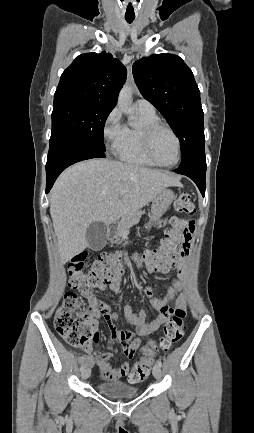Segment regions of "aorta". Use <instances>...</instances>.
Returning a JSON list of instances; mask_svg holds the SVG:
<instances>
[{
    "mask_svg": "<svg viewBox=\"0 0 254 433\" xmlns=\"http://www.w3.org/2000/svg\"><path fill=\"white\" fill-rule=\"evenodd\" d=\"M132 104V88L129 85H124L118 96L119 108L130 117H133Z\"/></svg>",
    "mask_w": 254,
    "mask_h": 433,
    "instance_id": "1",
    "label": "aorta"
}]
</instances>
